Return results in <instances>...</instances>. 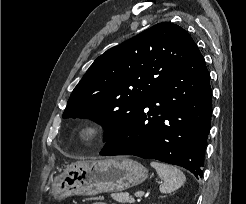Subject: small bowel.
<instances>
[{"instance_id": "c3829d8e", "label": "small bowel", "mask_w": 246, "mask_h": 204, "mask_svg": "<svg viewBox=\"0 0 246 204\" xmlns=\"http://www.w3.org/2000/svg\"><path fill=\"white\" fill-rule=\"evenodd\" d=\"M93 204H107V203H104V202H96V203H93Z\"/></svg>"}]
</instances>
